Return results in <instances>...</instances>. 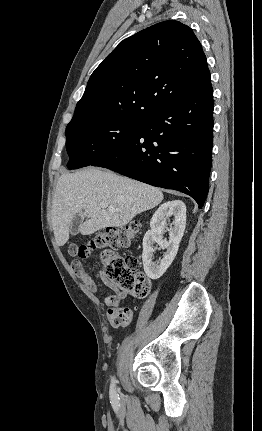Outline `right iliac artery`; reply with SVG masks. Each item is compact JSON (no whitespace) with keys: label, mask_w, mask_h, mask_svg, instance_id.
I'll return each mask as SVG.
<instances>
[{"label":"right iliac artery","mask_w":262,"mask_h":431,"mask_svg":"<svg viewBox=\"0 0 262 431\" xmlns=\"http://www.w3.org/2000/svg\"><path fill=\"white\" fill-rule=\"evenodd\" d=\"M115 378H112V384H111V388H110V398L113 401H116L118 399V393L115 389Z\"/></svg>","instance_id":"1"}]
</instances>
